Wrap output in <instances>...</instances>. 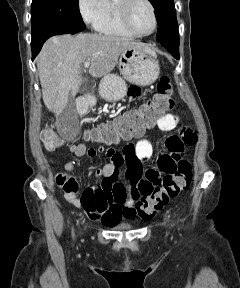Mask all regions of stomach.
<instances>
[{
	"label": "stomach",
	"instance_id": "0dacf381",
	"mask_svg": "<svg viewBox=\"0 0 240 288\" xmlns=\"http://www.w3.org/2000/svg\"><path fill=\"white\" fill-rule=\"evenodd\" d=\"M117 64L123 77L108 74L99 84V94L110 102L118 101L127 94L125 80L135 85L147 86L157 79L160 72L155 52L146 48L124 49L118 57Z\"/></svg>",
	"mask_w": 240,
	"mask_h": 288
}]
</instances>
